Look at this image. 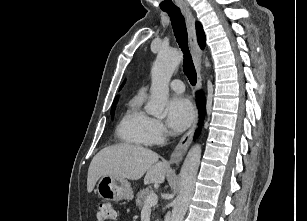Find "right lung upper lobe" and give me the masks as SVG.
<instances>
[{
  "mask_svg": "<svg viewBox=\"0 0 307 221\" xmlns=\"http://www.w3.org/2000/svg\"><path fill=\"white\" fill-rule=\"evenodd\" d=\"M196 31H197V38H198V42L201 48L205 47V34L202 28V25L200 23H196ZM123 84L121 85L120 88H122ZM115 101H117V98L115 99ZM114 101V102H115Z\"/></svg>",
  "mask_w": 307,
  "mask_h": 221,
  "instance_id": "cb5924a9",
  "label": "right lung upper lobe"
}]
</instances>
